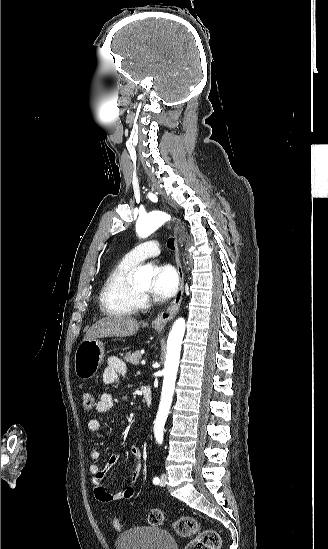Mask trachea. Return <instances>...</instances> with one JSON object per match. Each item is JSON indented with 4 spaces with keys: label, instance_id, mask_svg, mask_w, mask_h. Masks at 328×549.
Wrapping results in <instances>:
<instances>
[{
    "label": "trachea",
    "instance_id": "obj_1",
    "mask_svg": "<svg viewBox=\"0 0 328 549\" xmlns=\"http://www.w3.org/2000/svg\"><path fill=\"white\" fill-rule=\"evenodd\" d=\"M167 245H168L169 249H171V250H174V249H175V247H174V238H173V237H171V238L168 240Z\"/></svg>",
    "mask_w": 328,
    "mask_h": 549
}]
</instances>
